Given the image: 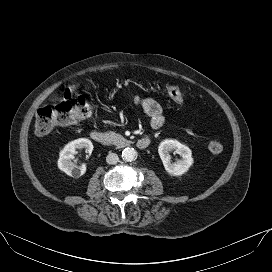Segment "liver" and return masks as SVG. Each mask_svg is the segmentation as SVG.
Listing matches in <instances>:
<instances>
[{"label": "liver", "mask_w": 272, "mask_h": 272, "mask_svg": "<svg viewBox=\"0 0 272 272\" xmlns=\"http://www.w3.org/2000/svg\"><path fill=\"white\" fill-rule=\"evenodd\" d=\"M74 89H75V87H72V88H71V91L74 90Z\"/></svg>", "instance_id": "liver-1"}]
</instances>
